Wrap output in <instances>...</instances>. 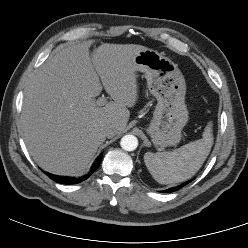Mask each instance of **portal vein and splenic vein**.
I'll list each match as a JSON object with an SVG mask.
<instances>
[{
    "label": "portal vein and splenic vein",
    "instance_id": "18ae733b",
    "mask_svg": "<svg viewBox=\"0 0 248 248\" xmlns=\"http://www.w3.org/2000/svg\"><path fill=\"white\" fill-rule=\"evenodd\" d=\"M106 98L105 97H100L97 101H96V104L98 106H104L106 104Z\"/></svg>",
    "mask_w": 248,
    "mask_h": 248
}]
</instances>
